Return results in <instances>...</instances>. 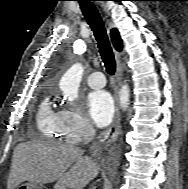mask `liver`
Returning <instances> with one entry per match:
<instances>
[{
  "mask_svg": "<svg viewBox=\"0 0 188 189\" xmlns=\"http://www.w3.org/2000/svg\"><path fill=\"white\" fill-rule=\"evenodd\" d=\"M98 170L97 164L76 146L44 141L20 143L13 152L7 189H15L24 181H58L60 189H82Z\"/></svg>",
  "mask_w": 188,
  "mask_h": 189,
  "instance_id": "1",
  "label": "liver"
}]
</instances>
